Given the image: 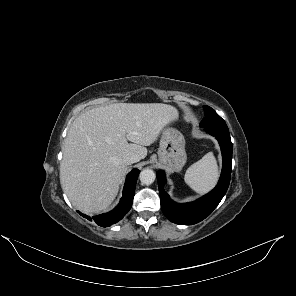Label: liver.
I'll use <instances>...</instances> for the list:
<instances>
[{"label":"liver","mask_w":296,"mask_h":296,"mask_svg":"<svg viewBox=\"0 0 296 296\" xmlns=\"http://www.w3.org/2000/svg\"><path fill=\"white\" fill-rule=\"evenodd\" d=\"M175 107L162 103H116L79 115L63 147L60 182L71 203L84 213L106 209L115 199L129 153L147 156ZM128 141L132 142L129 143Z\"/></svg>","instance_id":"6515ba94"}]
</instances>
